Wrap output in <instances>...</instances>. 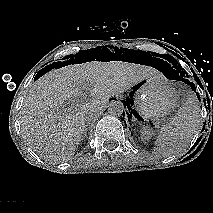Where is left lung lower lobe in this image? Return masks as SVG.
<instances>
[{
	"mask_svg": "<svg viewBox=\"0 0 213 213\" xmlns=\"http://www.w3.org/2000/svg\"><path fill=\"white\" fill-rule=\"evenodd\" d=\"M190 85H191V88H192V90H194L195 92H196V88H195V85L193 84V83H190ZM196 94H197V92H196ZM197 97H198V99H199V101H200V96H199V94H197ZM123 104H125L124 103V101H123ZM124 107H125V105H124Z\"/></svg>",
	"mask_w": 213,
	"mask_h": 213,
	"instance_id": "left-lung-lower-lobe-1",
	"label": "left lung lower lobe"
}]
</instances>
